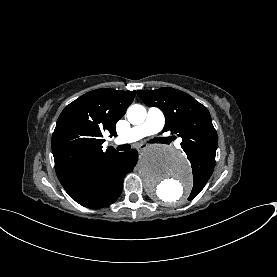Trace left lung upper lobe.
Listing matches in <instances>:
<instances>
[{
  "mask_svg": "<svg viewBox=\"0 0 277 277\" xmlns=\"http://www.w3.org/2000/svg\"><path fill=\"white\" fill-rule=\"evenodd\" d=\"M138 96L148 106L160 108L166 118L163 131L181 137V147L188 155L193 169L194 185L189 200L195 198L210 178L215 157L209 158L205 148H217V133L205 106L185 92L174 88L138 90ZM194 152V154H192Z\"/></svg>",
  "mask_w": 277,
  "mask_h": 277,
  "instance_id": "obj_1",
  "label": "left lung upper lobe"
}]
</instances>
